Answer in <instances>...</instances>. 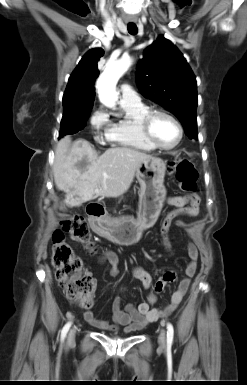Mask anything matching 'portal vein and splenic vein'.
Wrapping results in <instances>:
<instances>
[{
    "mask_svg": "<svg viewBox=\"0 0 247 385\" xmlns=\"http://www.w3.org/2000/svg\"><path fill=\"white\" fill-rule=\"evenodd\" d=\"M106 178H108V176L107 175H104Z\"/></svg>",
    "mask_w": 247,
    "mask_h": 385,
    "instance_id": "portal-vein-and-splenic-vein-1",
    "label": "portal vein and splenic vein"
}]
</instances>
